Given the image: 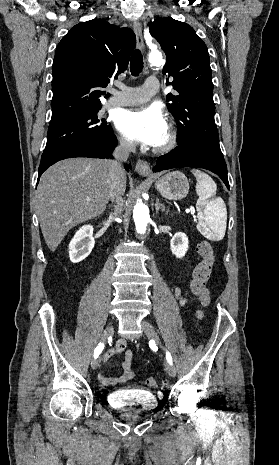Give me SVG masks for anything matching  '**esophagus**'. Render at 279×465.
Segmentation results:
<instances>
[{"label": "esophagus", "instance_id": "obj_1", "mask_svg": "<svg viewBox=\"0 0 279 465\" xmlns=\"http://www.w3.org/2000/svg\"><path fill=\"white\" fill-rule=\"evenodd\" d=\"M133 29L137 38V45L140 50H144L145 44L142 33V26L138 21L133 22ZM135 169L137 173L141 176H149L151 174V168L147 161L138 159L136 162Z\"/></svg>", "mask_w": 279, "mask_h": 465}]
</instances>
